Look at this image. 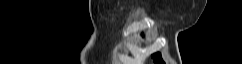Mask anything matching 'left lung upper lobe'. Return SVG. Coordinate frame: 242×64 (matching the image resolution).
I'll list each match as a JSON object with an SVG mask.
<instances>
[{"instance_id":"5c2ea615","label":"left lung upper lobe","mask_w":242,"mask_h":64,"mask_svg":"<svg viewBox=\"0 0 242 64\" xmlns=\"http://www.w3.org/2000/svg\"><path fill=\"white\" fill-rule=\"evenodd\" d=\"M155 64H164V61L161 58V54L160 53H156L152 55Z\"/></svg>"}]
</instances>
